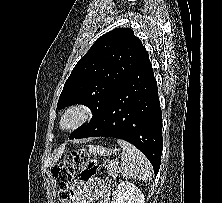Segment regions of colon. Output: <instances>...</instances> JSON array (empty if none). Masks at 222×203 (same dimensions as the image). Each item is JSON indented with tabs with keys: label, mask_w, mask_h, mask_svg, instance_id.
Returning <instances> with one entry per match:
<instances>
[{
	"label": "colon",
	"mask_w": 222,
	"mask_h": 203,
	"mask_svg": "<svg viewBox=\"0 0 222 203\" xmlns=\"http://www.w3.org/2000/svg\"><path fill=\"white\" fill-rule=\"evenodd\" d=\"M76 165H83L79 173L81 182L91 181L99 172L96 160L89 158L84 150L75 152L72 161H65L56 165L52 169V175L61 203H72L73 189L71 184Z\"/></svg>",
	"instance_id": "1"
}]
</instances>
